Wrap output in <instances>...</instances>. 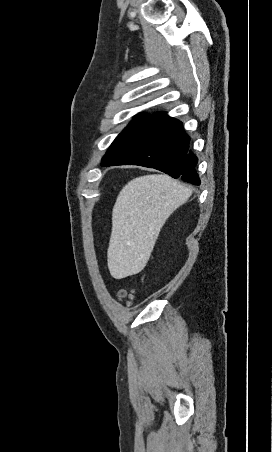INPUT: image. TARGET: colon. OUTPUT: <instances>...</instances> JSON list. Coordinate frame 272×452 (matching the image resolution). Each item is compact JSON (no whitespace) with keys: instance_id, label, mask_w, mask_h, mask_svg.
<instances>
[{"instance_id":"1","label":"colon","mask_w":272,"mask_h":452,"mask_svg":"<svg viewBox=\"0 0 272 452\" xmlns=\"http://www.w3.org/2000/svg\"><path fill=\"white\" fill-rule=\"evenodd\" d=\"M118 297H119L121 300H126L128 303H130V301H131L132 298H133V292H132V291H127V290H125V289H121V290H119V292H118Z\"/></svg>"}]
</instances>
